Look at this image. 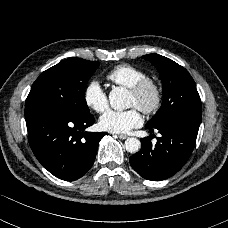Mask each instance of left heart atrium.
<instances>
[{
  "label": "left heart atrium",
  "instance_id": "obj_1",
  "mask_svg": "<svg viewBox=\"0 0 228 228\" xmlns=\"http://www.w3.org/2000/svg\"><path fill=\"white\" fill-rule=\"evenodd\" d=\"M142 122L143 119L136 107L128 110H109L99 120L103 130L115 134L126 133L132 128L139 127Z\"/></svg>",
  "mask_w": 228,
  "mask_h": 228
}]
</instances>
